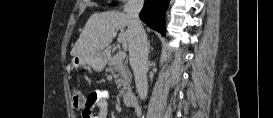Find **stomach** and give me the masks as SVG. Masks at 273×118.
<instances>
[{"mask_svg":"<svg viewBox=\"0 0 273 118\" xmlns=\"http://www.w3.org/2000/svg\"><path fill=\"white\" fill-rule=\"evenodd\" d=\"M107 62V55L104 52H98L90 55H76L71 60L73 68H79L85 65L90 66L93 70L101 72Z\"/></svg>","mask_w":273,"mask_h":118,"instance_id":"1","label":"stomach"}]
</instances>
